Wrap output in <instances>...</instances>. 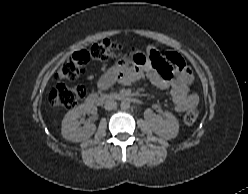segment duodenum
<instances>
[{
    "mask_svg": "<svg viewBox=\"0 0 248 194\" xmlns=\"http://www.w3.org/2000/svg\"><path fill=\"white\" fill-rule=\"evenodd\" d=\"M109 100H118V101H124V102H131L134 104H140V101L134 97L128 96L123 93H109V94H100V93H90L87 98L86 102L89 105L92 106H98L101 105L105 101Z\"/></svg>",
    "mask_w": 248,
    "mask_h": 194,
    "instance_id": "obj_1",
    "label": "duodenum"
}]
</instances>
